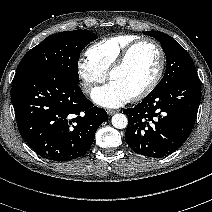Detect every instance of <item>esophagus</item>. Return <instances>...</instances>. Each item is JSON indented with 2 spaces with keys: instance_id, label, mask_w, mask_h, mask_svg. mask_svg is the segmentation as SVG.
Listing matches in <instances>:
<instances>
[{
  "instance_id": "obj_1",
  "label": "esophagus",
  "mask_w": 212,
  "mask_h": 212,
  "mask_svg": "<svg viewBox=\"0 0 212 212\" xmlns=\"http://www.w3.org/2000/svg\"><path fill=\"white\" fill-rule=\"evenodd\" d=\"M117 111L116 110H111V109H108L107 110V114L108 115H113V114H115Z\"/></svg>"
}]
</instances>
